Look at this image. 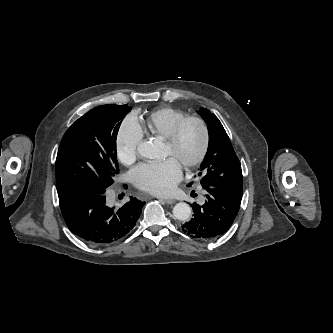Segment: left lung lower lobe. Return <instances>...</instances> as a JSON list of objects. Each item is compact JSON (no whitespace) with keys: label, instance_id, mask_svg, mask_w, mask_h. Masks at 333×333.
I'll list each match as a JSON object with an SVG mask.
<instances>
[{"label":"left lung lower lobe","instance_id":"left-lung-lower-lobe-1","mask_svg":"<svg viewBox=\"0 0 333 333\" xmlns=\"http://www.w3.org/2000/svg\"><path fill=\"white\" fill-rule=\"evenodd\" d=\"M202 188L207 200L203 205L193 203L194 217L182 228L193 238L212 239L224 234L232 225L240 207L243 188Z\"/></svg>","mask_w":333,"mask_h":333}]
</instances>
